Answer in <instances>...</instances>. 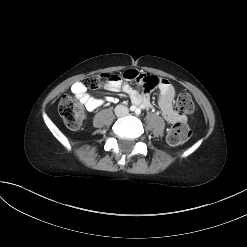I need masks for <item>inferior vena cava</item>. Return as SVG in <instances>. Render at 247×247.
Masks as SVG:
<instances>
[{"label":"inferior vena cava","mask_w":247,"mask_h":247,"mask_svg":"<svg viewBox=\"0 0 247 247\" xmlns=\"http://www.w3.org/2000/svg\"><path fill=\"white\" fill-rule=\"evenodd\" d=\"M129 113V110L126 106L118 105L115 108V114L119 117L126 116Z\"/></svg>","instance_id":"obj_1"}]
</instances>
